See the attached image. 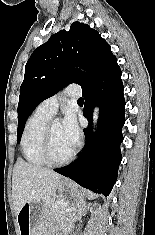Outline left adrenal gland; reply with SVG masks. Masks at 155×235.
<instances>
[{
	"label": "left adrenal gland",
	"mask_w": 155,
	"mask_h": 235,
	"mask_svg": "<svg viewBox=\"0 0 155 235\" xmlns=\"http://www.w3.org/2000/svg\"><path fill=\"white\" fill-rule=\"evenodd\" d=\"M86 206L84 204L79 205L76 212L78 214V216H81L83 212H86Z\"/></svg>",
	"instance_id": "obj_1"
}]
</instances>
